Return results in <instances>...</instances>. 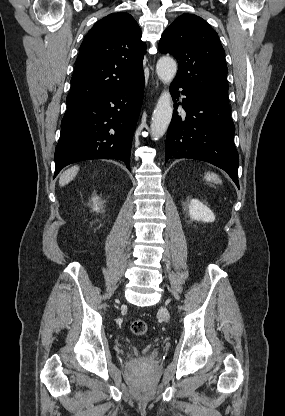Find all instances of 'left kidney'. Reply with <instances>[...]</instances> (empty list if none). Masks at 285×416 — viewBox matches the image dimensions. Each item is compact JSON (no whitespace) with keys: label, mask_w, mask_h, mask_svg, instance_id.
Masks as SVG:
<instances>
[{"label":"left kidney","mask_w":285,"mask_h":416,"mask_svg":"<svg viewBox=\"0 0 285 416\" xmlns=\"http://www.w3.org/2000/svg\"><path fill=\"white\" fill-rule=\"evenodd\" d=\"M189 216L197 222H214L215 216L210 208L204 206L199 200H191L189 204Z\"/></svg>","instance_id":"5707ae66"}]
</instances>
